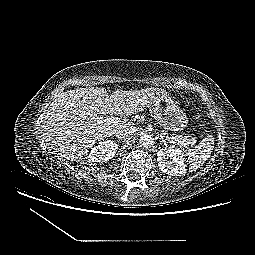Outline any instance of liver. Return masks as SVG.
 I'll list each match as a JSON object with an SVG mask.
<instances>
[{"label":"liver","instance_id":"1","mask_svg":"<svg viewBox=\"0 0 255 255\" xmlns=\"http://www.w3.org/2000/svg\"><path fill=\"white\" fill-rule=\"evenodd\" d=\"M165 90L146 88L134 91L79 88L63 92L48 109L42 122L45 142L67 160L83 159L88 149L131 122L99 123L98 114L132 115L149 108Z\"/></svg>","mask_w":255,"mask_h":255}]
</instances>
